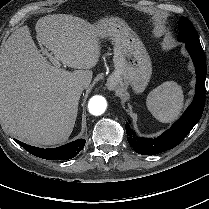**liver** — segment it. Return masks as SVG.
I'll return each mask as SVG.
<instances>
[{"label": "liver", "mask_w": 209, "mask_h": 209, "mask_svg": "<svg viewBox=\"0 0 209 209\" xmlns=\"http://www.w3.org/2000/svg\"><path fill=\"white\" fill-rule=\"evenodd\" d=\"M37 40L73 72L57 68L39 52L28 26L16 29L0 52V119L16 138L32 145L64 143L71 135L80 95L99 61L97 28L67 14L40 18Z\"/></svg>", "instance_id": "liver-1"}]
</instances>
